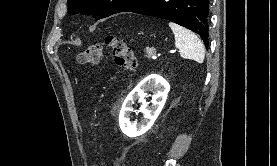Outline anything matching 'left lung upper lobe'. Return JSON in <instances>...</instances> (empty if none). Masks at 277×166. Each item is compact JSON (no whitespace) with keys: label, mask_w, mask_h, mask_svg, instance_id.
I'll use <instances>...</instances> for the list:
<instances>
[{"label":"left lung upper lobe","mask_w":277,"mask_h":166,"mask_svg":"<svg viewBox=\"0 0 277 166\" xmlns=\"http://www.w3.org/2000/svg\"><path fill=\"white\" fill-rule=\"evenodd\" d=\"M137 0H68L69 14H93L99 19L121 12Z\"/></svg>","instance_id":"obj_1"}]
</instances>
